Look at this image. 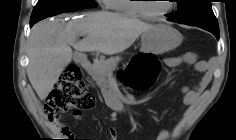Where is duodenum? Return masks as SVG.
I'll list each match as a JSON object with an SVG mask.
<instances>
[{"label":"duodenum","mask_w":236,"mask_h":140,"mask_svg":"<svg viewBox=\"0 0 236 140\" xmlns=\"http://www.w3.org/2000/svg\"><path fill=\"white\" fill-rule=\"evenodd\" d=\"M77 60L86 71H88V72L90 71L91 63L85 57H83L82 55L79 54V55H77ZM118 109L121 110L122 107H118Z\"/></svg>","instance_id":"obj_1"}]
</instances>
